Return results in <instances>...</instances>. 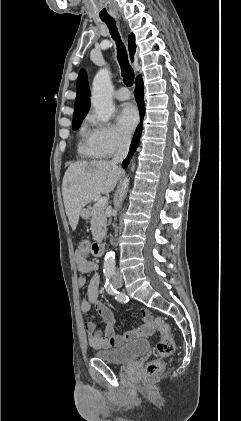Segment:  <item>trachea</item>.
Masks as SVG:
<instances>
[{"instance_id":"obj_1","label":"trachea","mask_w":241,"mask_h":421,"mask_svg":"<svg viewBox=\"0 0 241 421\" xmlns=\"http://www.w3.org/2000/svg\"><path fill=\"white\" fill-rule=\"evenodd\" d=\"M102 20L107 24L110 30V33L112 35V38L116 40L117 42V53H118L117 58L121 66L123 82L126 86L130 87L133 85V82H134V71L128 63L127 52L123 43L120 40L119 33L116 27V22L114 21V19H102Z\"/></svg>"}]
</instances>
